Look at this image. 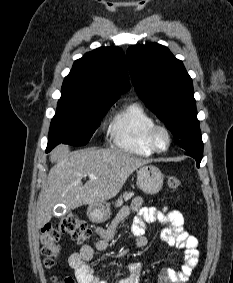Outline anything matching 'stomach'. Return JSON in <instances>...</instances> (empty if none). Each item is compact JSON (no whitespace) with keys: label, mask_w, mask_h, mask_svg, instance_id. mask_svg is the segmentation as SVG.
Returning a JSON list of instances; mask_svg holds the SVG:
<instances>
[{"label":"stomach","mask_w":233,"mask_h":283,"mask_svg":"<svg viewBox=\"0 0 233 283\" xmlns=\"http://www.w3.org/2000/svg\"><path fill=\"white\" fill-rule=\"evenodd\" d=\"M137 185L146 194H157L163 186V174L153 165H145L137 170ZM111 215L110 207H90L88 216L94 222H103Z\"/></svg>","instance_id":"obj_1"}]
</instances>
